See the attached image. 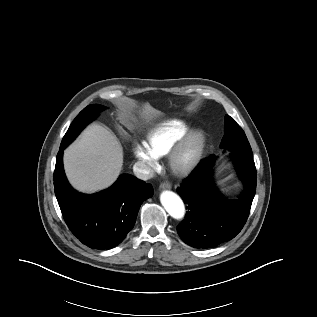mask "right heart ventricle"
<instances>
[{"label": "right heart ventricle", "instance_id": "1", "mask_svg": "<svg viewBox=\"0 0 317 317\" xmlns=\"http://www.w3.org/2000/svg\"><path fill=\"white\" fill-rule=\"evenodd\" d=\"M188 132V127L179 121L165 122L147 134V146L157 156L169 154Z\"/></svg>", "mask_w": 317, "mask_h": 317}]
</instances>
